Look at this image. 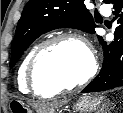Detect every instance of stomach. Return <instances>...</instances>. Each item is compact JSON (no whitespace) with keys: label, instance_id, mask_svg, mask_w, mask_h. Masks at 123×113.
I'll return each instance as SVG.
<instances>
[{"label":"stomach","instance_id":"stomach-1","mask_svg":"<svg viewBox=\"0 0 123 113\" xmlns=\"http://www.w3.org/2000/svg\"><path fill=\"white\" fill-rule=\"evenodd\" d=\"M103 102V97L93 96V95H84L81 96L73 106V109L78 113H91L95 111L100 104ZM11 109L20 112V113H33V111L26 106L22 101L13 100L11 101ZM37 113H56L54 109H48L46 111L37 112Z\"/></svg>","mask_w":123,"mask_h":113}]
</instances>
